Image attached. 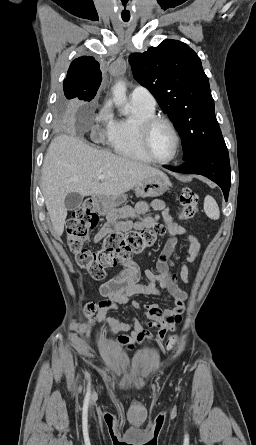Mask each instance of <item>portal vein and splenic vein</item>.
<instances>
[{"label": "portal vein and splenic vein", "instance_id": "1", "mask_svg": "<svg viewBox=\"0 0 256 445\" xmlns=\"http://www.w3.org/2000/svg\"><path fill=\"white\" fill-rule=\"evenodd\" d=\"M105 179V175H99L98 177H97V180H104Z\"/></svg>", "mask_w": 256, "mask_h": 445}]
</instances>
